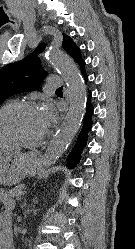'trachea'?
<instances>
[{
	"mask_svg": "<svg viewBox=\"0 0 135 249\" xmlns=\"http://www.w3.org/2000/svg\"><path fill=\"white\" fill-rule=\"evenodd\" d=\"M56 91H62V87L58 88Z\"/></svg>",
	"mask_w": 135,
	"mask_h": 249,
	"instance_id": "trachea-1",
	"label": "trachea"
}]
</instances>
